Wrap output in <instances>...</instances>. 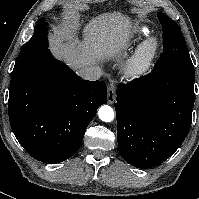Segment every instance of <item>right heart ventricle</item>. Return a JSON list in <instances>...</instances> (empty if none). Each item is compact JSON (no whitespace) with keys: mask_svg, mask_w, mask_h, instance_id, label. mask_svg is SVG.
<instances>
[{"mask_svg":"<svg viewBox=\"0 0 199 199\" xmlns=\"http://www.w3.org/2000/svg\"><path fill=\"white\" fill-rule=\"evenodd\" d=\"M148 33V29L145 27H140L136 30V34L139 35H146Z\"/></svg>","mask_w":199,"mask_h":199,"instance_id":"right-heart-ventricle-1","label":"right heart ventricle"}]
</instances>
